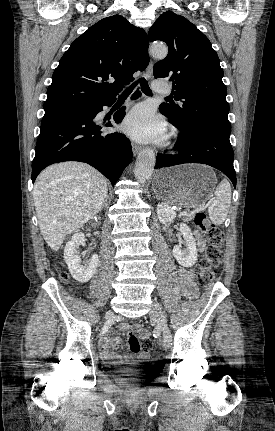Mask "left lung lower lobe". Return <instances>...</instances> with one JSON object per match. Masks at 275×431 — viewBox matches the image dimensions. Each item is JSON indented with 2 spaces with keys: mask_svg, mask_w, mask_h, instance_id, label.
Returning a JSON list of instances; mask_svg holds the SVG:
<instances>
[{
  "mask_svg": "<svg viewBox=\"0 0 275 431\" xmlns=\"http://www.w3.org/2000/svg\"><path fill=\"white\" fill-rule=\"evenodd\" d=\"M174 148L176 155L158 154L155 168L183 163H202L222 171L236 187L233 167L234 153L229 141L230 133L200 129L180 130Z\"/></svg>",
  "mask_w": 275,
  "mask_h": 431,
  "instance_id": "0a47b994",
  "label": "left lung lower lobe"
}]
</instances>
